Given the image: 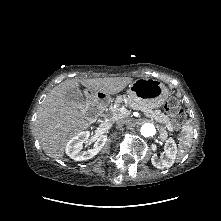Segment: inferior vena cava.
<instances>
[{"mask_svg":"<svg viewBox=\"0 0 221 221\" xmlns=\"http://www.w3.org/2000/svg\"><path fill=\"white\" fill-rule=\"evenodd\" d=\"M116 123L117 124H122V123H124V120H118Z\"/></svg>","mask_w":221,"mask_h":221,"instance_id":"602c4592","label":"inferior vena cava"}]
</instances>
